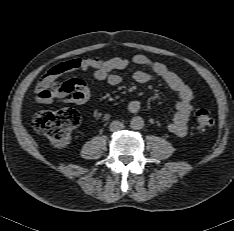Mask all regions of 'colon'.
Returning a JSON list of instances; mask_svg holds the SVG:
<instances>
[{"label": "colon", "instance_id": "5ec220e1", "mask_svg": "<svg viewBox=\"0 0 234 231\" xmlns=\"http://www.w3.org/2000/svg\"><path fill=\"white\" fill-rule=\"evenodd\" d=\"M79 62L70 61L60 66V74L69 73L79 67ZM70 81V80H69ZM61 84L57 89L61 90L66 83ZM80 116L73 109L44 110L37 113L33 120L35 130L46 136L51 145L56 149H63L71 142L72 131L79 125ZM213 125L210 113L204 109H198L195 114V127L198 131H207Z\"/></svg>", "mask_w": 234, "mask_h": 231}]
</instances>
